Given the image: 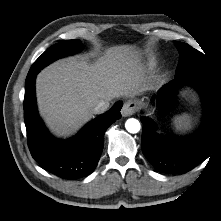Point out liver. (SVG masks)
<instances>
[{"mask_svg":"<svg viewBox=\"0 0 221 221\" xmlns=\"http://www.w3.org/2000/svg\"><path fill=\"white\" fill-rule=\"evenodd\" d=\"M145 69L133 47L114 46L97 61L69 57L43 69L36 79L40 115L57 136H69L88 122L101 101L134 97L145 88Z\"/></svg>","mask_w":221,"mask_h":221,"instance_id":"1","label":"liver"}]
</instances>
